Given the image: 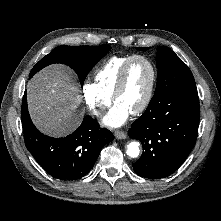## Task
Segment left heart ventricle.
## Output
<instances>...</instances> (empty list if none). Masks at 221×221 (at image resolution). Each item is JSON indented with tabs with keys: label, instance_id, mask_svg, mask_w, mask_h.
<instances>
[{
	"label": "left heart ventricle",
	"instance_id": "obj_1",
	"mask_svg": "<svg viewBox=\"0 0 221 221\" xmlns=\"http://www.w3.org/2000/svg\"><path fill=\"white\" fill-rule=\"evenodd\" d=\"M151 71L143 60L133 61L128 69L125 87L116 99L131 113L142 103L149 88Z\"/></svg>",
	"mask_w": 221,
	"mask_h": 221
}]
</instances>
